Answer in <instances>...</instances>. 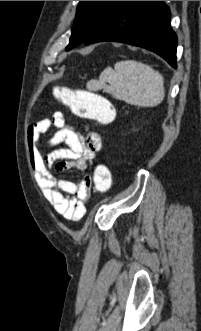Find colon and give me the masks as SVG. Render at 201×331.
<instances>
[{
	"instance_id": "obj_1",
	"label": "colon",
	"mask_w": 201,
	"mask_h": 331,
	"mask_svg": "<svg viewBox=\"0 0 201 331\" xmlns=\"http://www.w3.org/2000/svg\"><path fill=\"white\" fill-rule=\"evenodd\" d=\"M54 95L79 117L92 120L100 125L109 124L114 120V107L105 97L96 92L57 87ZM111 185L112 176L108 167L97 166L94 170L90 192L93 190L96 193L104 194L110 190Z\"/></svg>"
}]
</instances>
